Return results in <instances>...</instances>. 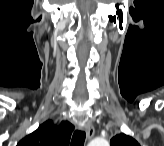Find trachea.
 Wrapping results in <instances>:
<instances>
[{
  "label": "trachea",
  "mask_w": 164,
  "mask_h": 146,
  "mask_svg": "<svg viewBox=\"0 0 164 146\" xmlns=\"http://www.w3.org/2000/svg\"><path fill=\"white\" fill-rule=\"evenodd\" d=\"M86 134L84 131L76 130L71 140V146H83Z\"/></svg>",
  "instance_id": "3493384b"
}]
</instances>
